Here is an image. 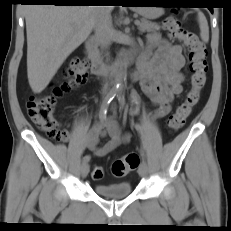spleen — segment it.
Wrapping results in <instances>:
<instances>
[{
    "label": "spleen",
    "instance_id": "3e777b00",
    "mask_svg": "<svg viewBox=\"0 0 231 231\" xmlns=\"http://www.w3.org/2000/svg\"><path fill=\"white\" fill-rule=\"evenodd\" d=\"M198 21L200 27V36L203 42L209 41V27L205 16L202 13H198Z\"/></svg>",
    "mask_w": 231,
    "mask_h": 231
}]
</instances>
